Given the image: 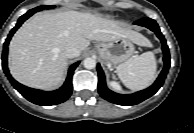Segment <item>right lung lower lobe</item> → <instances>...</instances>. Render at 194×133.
Here are the masks:
<instances>
[{"label": "right lung lower lobe", "mask_w": 194, "mask_h": 133, "mask_svg": "<svg viewBox=\"0 0 194 133\" xmlns=\"http://www.w3.org/2000/svg\"><path fill=\"white\" fill-rule=\"evenodd\" d=\"M31 11H28L24 15H22L17 25L11 30L9 33L3 47V54H2V67L3 70L8 77L9 81L13 85V87L20 93L22 96H24L27 100H29L32 103H35L37 105H55L62 103L66 101L71 93H72V75L75 70V68L78 66L79 62L73 64L68 72L67 79L64 83V85L55 91H41L37 89H32L29 87H26L20 83H18L16 80L12 78V76L9 73L8 66H7V55H8V44L12 37V35L15 33V31L21 26V24L27 20L31 15H33Z\"/></svg>", "instance_id": "98d812e1"}]
</instances>
